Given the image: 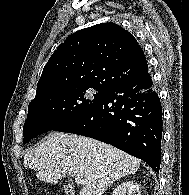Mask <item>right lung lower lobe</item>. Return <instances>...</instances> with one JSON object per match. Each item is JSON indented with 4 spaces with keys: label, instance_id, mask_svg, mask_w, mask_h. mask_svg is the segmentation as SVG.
Instances as JSON below:
<instances>
[{
    "label": "right lung lower lobe",
    "instance_id": "right-lung-lower-lobe-1",
    "mask_svg": "<svg viewBox=\"0 0 189 195\" xmlns=\"http://www.w3.org/2000/svg\"><path fill=\"white\" fill-rule=\"evenodd\" d=\"M111 144L159 172L162 107L148 73L109 88L89 110L56 128Z\"/></svg>",
    "mask_w": 189,
    "mask_h": 195
}]
</instances>
